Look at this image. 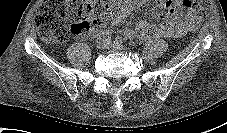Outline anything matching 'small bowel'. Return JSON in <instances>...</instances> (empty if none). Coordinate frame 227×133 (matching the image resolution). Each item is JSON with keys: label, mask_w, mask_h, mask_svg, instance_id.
<instances>
[{"label": "small bowel", "mask_w": 227, "mask_h": 133, "mask_svg": "<svg viewBox=\"0 0 227 133\" xmlns=\"http://www.w3.org/2000/svg\"><path fill=\"white\" fill-rule=\"evenodd\" d=\"M148 0H125L119 9L114 21L118 22L127 17L134 6L143 5ZM160 8L165 10L167 20L154 27L147 21L140 22L134 29L124 30V35L129 39L145 40L149 38H176L194 31L199 26V18L190 11L183 12L180 7L182 0H157ZM105 32L101 29H92L90 37H100Z\"/></svg>", "instance_id": "1"}]
</instances>
